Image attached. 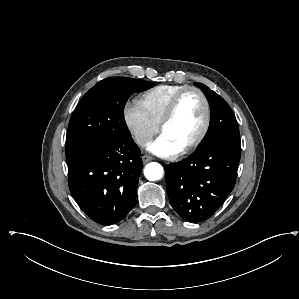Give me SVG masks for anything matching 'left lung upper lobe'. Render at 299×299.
Here are the masks:
<instances>
[{"mask_svg": "<svg viewBox=\"0 0 299 299\" xmlns=\"http://www.w3.org/2000/svg\"><path fill=\"white\" fill-rule=\"evenodd\" d=\"M200 87L211 107L209 129L197 149L215 143H229L241 147L238 123L227 102L209 87L194 83Z\"/></svg>", "mask_w": 299, "mask_h": 299, "instance_id": "obj_1", "label": "left lung upper lobe"}]
</instances>
